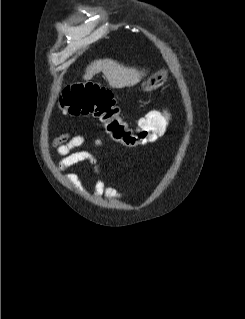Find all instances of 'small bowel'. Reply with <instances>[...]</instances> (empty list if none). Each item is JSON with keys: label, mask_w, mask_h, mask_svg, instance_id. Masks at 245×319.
<instances>
[{"label": "small bowel", "mask_w": 245, "mask_h": 319, "mask_svg": "<svg viewBox=\"0 0 245 319\" xmlns=\"http://www.w3.org/2000/svg\"><path fill=\"white\" fill-rule=\"evenodd\" d=\"M85 141V134L71 136L69 133L62 134L53 140L52 146L56 149L57 155L61 157L58 164L60 170H65L77 164L87 162L93 164L96 168V172L100 175L97 159L88 151L79 150ZM95 144L101 145V140L97 139ZM65 178L70 183L79 187V180L76 174L68 173L65 175ZM80 191L83 195L87 196H106L110 199H117L120 197V193L116 189L108 187L102 177L98 178L91 192H87L81 188Z\"/></svg>", "instance_id": "obj_1"}]
</instances>
